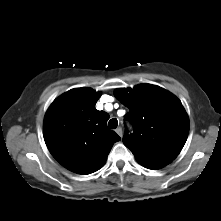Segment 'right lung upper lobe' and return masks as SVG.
<instances>
[{
	"mask_svg": "<svg viewBox=\"0 0 221 221\" xmlns=\"http://www.w3.org/2000/svg\"><path fill=\"white\" fill-rule=\"evenodd\" d=\"M99 97V92L86 87L69 90L54 100L44 118V140L50 153L78 174L99 170L120 140L107 128L108 113L95 108Z\"/></svg>",
	"mask_w": 221,
	"mask_h": 221,
	"instance_id": "cb5924a9",
	"label": "right lung upper lobe"
}]
</instances>
